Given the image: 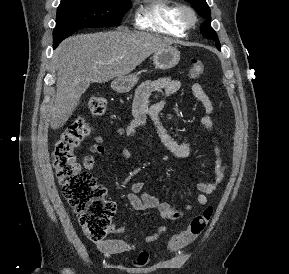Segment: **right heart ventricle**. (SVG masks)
<instances>
[{"label": "right heart ventricle", "mask_w": 289, "mask_h": 274, "mask_svg": "<svg viewBox=\"0 0 289 274\" xmlns=\"http://www.w3.org/2000/svg\"><path fill=\"white\" fill-rule=\"evenodd\" d=\"M177 8L169 0H145L136 12L135 24L140 29L182 36L186 29L176 20Z\"/></svg>", "instance_id": "1"}]
</instances>
